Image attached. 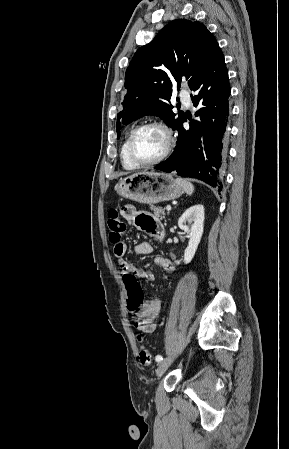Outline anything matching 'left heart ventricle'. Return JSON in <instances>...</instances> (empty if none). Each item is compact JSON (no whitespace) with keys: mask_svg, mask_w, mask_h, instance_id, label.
I'll list each match as a JSON object with an SVG mask.
<instances>
[{"mask_svg":"<svg viewBox=\"0 0 289 449\" xmlns=\"http://www.w3.org/2000/svg\"><path fill=\"white\" fill-rule=\"evenodd\" d=\"M165 138L157 128H146L140 131L134 140L135 157L142 162L157 158L164 150Z\"/></svg>","mask_w":289,"mask_h":449,"instance_id":"b2bd125f","label":"left heart ventricle"}]
</instances>
